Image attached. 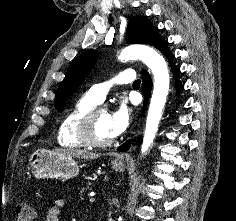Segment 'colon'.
Returning <instances> with one entry per match:
<instances>
[{
  "label": "colon",
  "mask_w": 236,
  "mask_h": 221,
  "mask_svg": "<svg viewBox=\"0 0 236 221\" xmlns=\"http://www.w3.org/2000/svg\"><path fill=\"white\" fill-rule=\"evenodd\" d=\"M36 217V209L28 203L18 205L15 212L16 221H34Z\"/></svg>",
  "instance_id": "5ec220e1"
}]
</instances>
